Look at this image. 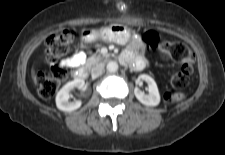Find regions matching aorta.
Here are the masks:
<instances>
[{
	"label": "aorta",
	"instance_id": "aorta-1",
	"mask_svg": "<svg viewBox=\"0 0 225 155\" xmlns=\"http://www.w3.org/2000/svg\"><path fill=\"white\" fill-rule=\"evenodd\" d=\"M118 63L117 62H115V61H110V62H108L107 63V66H106V68H107V71L108 72H111V73H114V72H116L117 70H118Z\"/></svg>",
	"mask_w": 225,
	"mask_h": 155
}]
</instances>
